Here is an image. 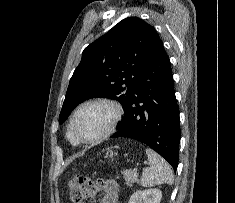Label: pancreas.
<instances>
[{"label":"pancreas","instance_id":"1","mask_svg":"<svg viewBox=\"0 0 235 203\" xmlns=\"http://www.w3.org/2000/svg\"><path fill=\"white\" fill-rule=\"evenodd\" d=\"M122 175L125 178L126 184L129 186L139 182L137 176L132 170H123Z\"/></svg>","mask_w":235,"mask_h":203}]
</instances>
